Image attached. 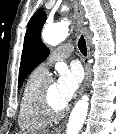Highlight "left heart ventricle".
I'll use <instances>...</instances> for the list:
<instances>
[{
	"label": "left heart ventricle",
	"mask_w": 116,
	"mask_h": 134,
	"mask_svg": "<svg viewBox=\"0 0 116 134\" xmlns=\"http://www.w3.org/2000/svg\"><path fill=\"white\" fill-rule=\"evenodd\" d=\"M49 98L54 107L62 108L64 106L62 102L60 101L56 83L54 82L51 83L50 88H49Z\"/></svg>",
	"instance_id": "1"
}]
</instances>
